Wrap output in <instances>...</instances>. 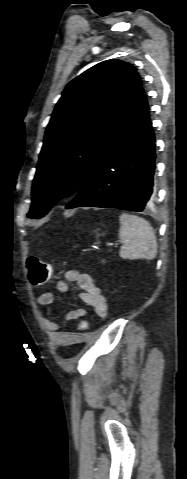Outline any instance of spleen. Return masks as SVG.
Segmentation results:
<instances>
[{
    "instance_id": "3e777b00",
    "label": "spleen",
    "mask_w": 187,
    "mask_h": 479,
    "mask_svg": "<svg viewBox=\"0 0 187 479\" xmlns=\"http://www.w3.org/2000/svg\"><path fill=\"white\" fill-rule=\"evenodd\" d=\"M119 220V238L123 242L120 257L128 260H153L157 255V240L150 223L127 213H122Z\"/></svg>"
}]
</instances>
